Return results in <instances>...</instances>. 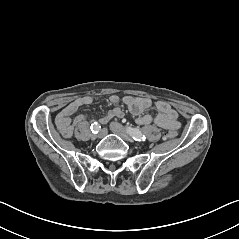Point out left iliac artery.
<instances>
[{"label": "left iliac artery", "instance_id": "left-iliac-artery-1", "mask_svg": "<svg viewBox=\"0 0 239 239\" xmlns=\"http://www.w3.org/2000/svg\"><path fill=\"white\" fill-rule=\"evenodd\" d=\"M126 131L136 141H145V139H146L145 136L141 133V131L137 128L127 127Z\"/></svg>", "mask_w": 239, "mask_h": 239}]
</instances>
